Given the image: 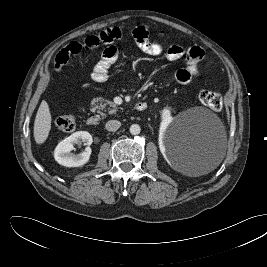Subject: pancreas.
I'll use <instances>...</instances> for the list:
<instances>
[{
  "instance_id": "obj_1",
  "label": "pancreas",
  "mask_w": 267,
  "mask_h": 267,
  "mask_svg": "<svg viewBox=\"0 0 267 267\" xmlns=\"http://www.w3.org/2000/svg\"><path fill=\"white\" fill-rule=\"evenodd\" d=\"M98 102H100V103H98ZM92 106H93L92 110L93 111L97 110V112H100L101 110H105L107 106H109L108 110H109L110 114H113L118 110V107L116 106L115 103H113L111 101L104 100L102 98L94 99L92 102ZM102 116H103V114H102Z\"/></svg>"
}]
</instances>
